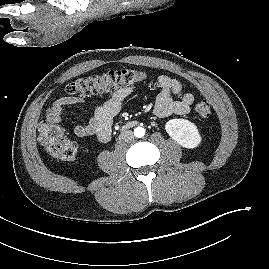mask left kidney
Returning a JSON list of instances; mask_svg holds the SVG:
<instances>
[{"mask_svg": "<svg viewBox=\"0 0 269 269\" xmlns=\"http://www.w3.org/2000/svg\"><path fill=\"white\" fill-rule=\"evenodd\" d=\"M169 136L182 147L193 149L201 143L197 126L186 119H171L165 124Z\"/></svg>", "mask_w": 269, "mask_h": 269, "instance_id": "obj_1", "label": "left kidney"}]
</instances>
